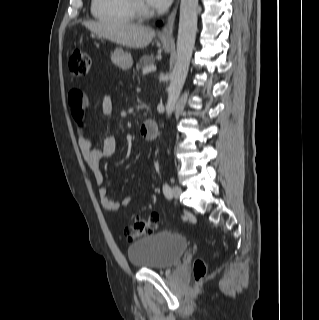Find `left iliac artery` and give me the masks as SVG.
<instances>
[{"label":"left iliac artery","instance_id":"1","mask_svg":"<svg viewBox=\"0 0 319 320\" xmlns=\"http://www.w3.org/2000/svg\"><path fill=\"white\" fill-rule=\"evenodd\" d=\"M163 193H164L165 197L168 198V199L172 198V196H173L172 195V189L167 183H165L163 185Z\"/></svg>","mask_w":319,"mask_h":320}]
</instances>
